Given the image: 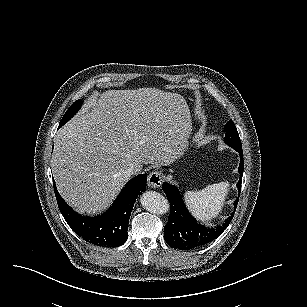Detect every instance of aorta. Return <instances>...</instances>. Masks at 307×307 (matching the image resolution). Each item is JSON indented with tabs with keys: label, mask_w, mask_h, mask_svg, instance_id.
Segmentation results:
<instances>
[{
	"label": "aorta",
	"mask_w": 307,
	"mask_h": 307,
	"mask_svg": "<svg viewBox=\"0 0 307 307\" xmlns=\"http://www.w3.org/2000/svg\"><path fill=\"white\" fill-rule=\"evenodd\" d=\"M141 206L154 214L165 213L169 207L167 199L156 191H145L140 195Z\"/></svg>",
	"instance_id": "1"
}]
</instances>
